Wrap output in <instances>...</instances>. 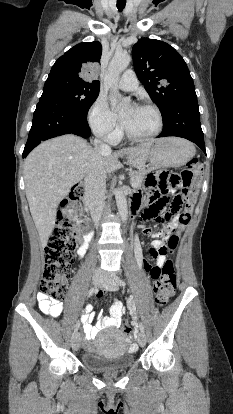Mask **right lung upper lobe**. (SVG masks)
Returning a JSON list of instances; mask_svg holds the SVG:
<instances>
[{"label":"right lung upper lobe","instance_id":"cb5924a9","mask_svg":"<svg viewBox=\"0 0 233 414\" xmlns=\"http://www.w3.org/2000/svg\"><path fill=\"white\" fill-rule=\"evenodd\" d=\"M102 46L99 42H83L68 50L53 65L48 77H61L70 80L84 82L91 85H99V81L88 82L82 78L86 66L92 63H100Z\"/></svg>","mask_w":233,"mask_h":414}]
</instances>
